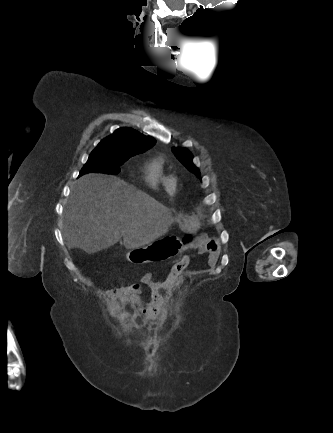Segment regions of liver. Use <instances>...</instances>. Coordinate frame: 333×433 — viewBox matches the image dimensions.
<instances>
[{"instance_id":"obj_1","label":"liver","mask_w":333,"mask_h":433,"mask_svg":"<svg viewBox=\"0 0 333 433\" xmlns=\"http://www.w3.org/2000/svg\"><path fill=\"white\" fill-rule=\"evenodd\" d=\"M173 219L164 205L133 185L90 173L74 182L64 211L68 248L87 254L107 249L123 238L127 249L148 245L168 232Z\"/></svg>"}]
</instances>
